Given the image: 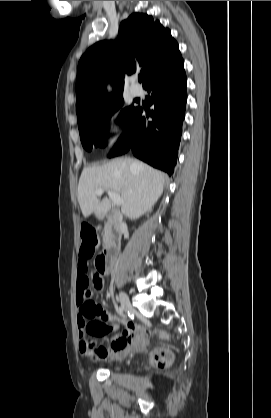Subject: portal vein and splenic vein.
Masks as SVG:
<instances>
[{
	"label": "portal vein and splenic vein",
	"mask_w": 271,
	"mask_h": 418,
	"mask_svg": "<svg viewBox=\"0 0 271 418\" xmlns=\"http://www.w3.org/2000/svg\"><path fill=\"white\" fill-rule=\"evenodd\" d=\"M105 190L107 191V193L109 195V198L112 200V202L115 205L119 206V205H122L123 204V199L121 198V196L118 193L114 192V191H111V190H108V189H104V188H99V189H97L95 191V193H96V195L100 196V195L103 194V192Z\"/></svg>",
	"instance_id": "portal-vein-and-splenic-vein-1"
}]
</instances>
